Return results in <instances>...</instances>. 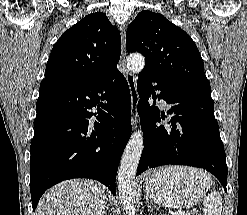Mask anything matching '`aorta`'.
Here are the masks:
<instances>
[{"mask_svg": "<svg viewBox=\"0 0 247 215\" xmlns=\"http://www.w3.org/2000/svg\"><path fill=\"white\" fill-rule=\"evenodd\" d=\"M144 66L145 59L141 54L134 53L127 57V67L131 72L140 73ZM143 146V133L138 130L126 145L118 171L119 198L128 215L135 214V176Z\"/></svg>", "mask_w": 247, "mask_h": 215, "instance_id": "762f6f07", "label": "aorta"}]
</instances>
